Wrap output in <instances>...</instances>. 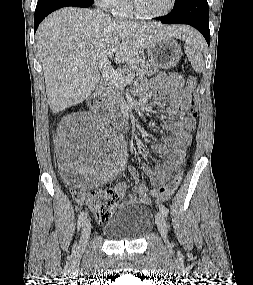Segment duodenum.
<instances>
[{
	"mask_svg": "<svg viewBox=\"0 0 253 285\" xmlns=\"http://www.w3.org/2000/svg\"><path fill=\"white\" fill-rule=\"evenodd\" d=\"M88 106L97 115L105 113L111 122L121 129H127L130 125V118L124 111H106L101 97V87L89 97Z\"/></svg>",
	"mask_w": 253,
	"mask_h": 285,
	"instance_id": "410a0bca",
	"label": "duodenum"
}]
</instances>
